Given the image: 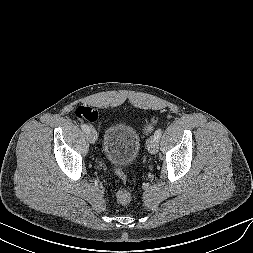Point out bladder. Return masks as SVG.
Returning a JSON list of instances; mask_svg holds the SVG:
<instances>
[{"label":"bladder","instance_id":"31cf9c89","mask_svg":"<svg viewBox=\"0 0 253 253\" xmlns=\"http://www.w3.org/2000/svg\"><path fill=\"white\" fill-rule=\"evenodd\" d=\"M140 147L141 140L129 124L119 122L111 124L103 134V154L113 166L131 165L136 160Z\"/></svg>","mask_w":253,"mask_h":253}]
</instances>
